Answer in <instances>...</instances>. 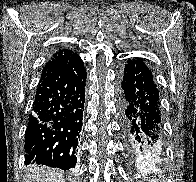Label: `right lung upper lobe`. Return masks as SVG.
Segmentation results:
<instances>
[{
	"label": "right lung upper lobe",
	"mask_w": 196,
	"mask_h": 182,
	"mask_svg": "<svg viewBox=\"0 0 196 182\" xmlns=\"http://www.w3.org/2000/svg\"><path fill=\"white\" fill-rule=\"evenodd\" d=\"M77 54L73 53L70 50L67 49H59L58 52H56L51 60H49L45 67L42 70L41 73V79L52 73L53 71L57 70L61 66H64L67 64V62L72 59L73 57H76Z\"/></svg>",
	"instance_id": "cb5924a9"
}]
</instances>
